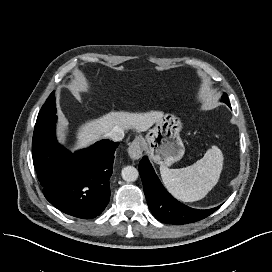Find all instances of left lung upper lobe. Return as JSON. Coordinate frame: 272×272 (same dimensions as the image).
I'll use <instances>...</instances> for the list:
<instances>
[{
    "instance_id": "left-lung-upper-lobe-1",
    "label": "left lung upper lobe",
    "mask_w": 272,
    "mask_h": 272,
    "mask_svg": "<svg viewBox=\"0 0 272 272\" xmlns=\"http://www.w3.org/2000/svg\"><path fill=\"white\" fill-rule=\"evenodd\" d=\"M222 101H223L224 103H226L228 106H230V102H229L228 97H227L226 94H224V95L222 96Z\"/></svg>"
}]
</instances>
